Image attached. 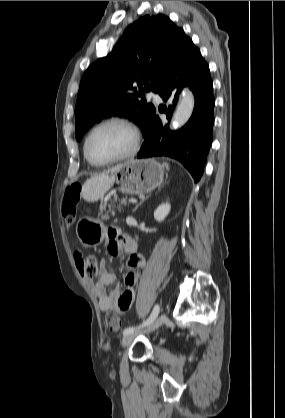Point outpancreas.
<instances>
[{"instance_id": "pancreas-1", "label": "pancreas", "mask_w": 285, "mask_h": 418, "mask_svg": "<svg viewBox=\"0 0 285 418\" xmlns=\"http://www.w3.org/2000/svg\"><path fill=\"white\" fill-rule=\"evenodd\" d=\"M122 203H125V200H122ZM117 207L120 208V205H117ZM114 208H115V205L114 204H111V205H109V210L106 211V204L103 203V204H101V207H100V215L103 218H108L109 217V213L111 211H113Z\"/></svg>"}]
</instances>
